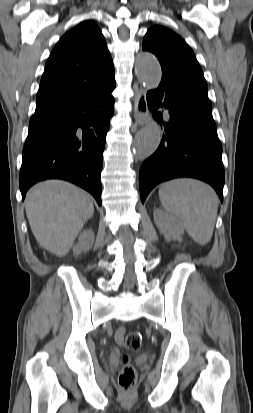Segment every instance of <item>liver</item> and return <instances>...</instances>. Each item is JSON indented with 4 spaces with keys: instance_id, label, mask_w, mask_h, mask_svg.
<instances>
[{
    "instance_id": "obj_1",
    "label": "liver",
    "mask_w": 253,
    "mask_h": 413,
    "mask_svg": "<svg viewBox=\"0 0 253 413\" xmlns=\"http://www.w3.org/2000/svg\"><path fill=\"white\" fill-rule=\"evenodd\" d=\"M26 215L38 244L52 254H68L84 224L92 217V197L77 186L49 180L27 193Z\"/></svg>"
}]
</instances>
